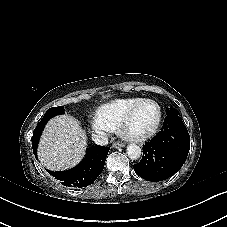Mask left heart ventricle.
I'll list each match as a JSON object with an SVG mask.
<instances>
[{
    "instance_id": "1",
    "label": "left heart ventricle",
    "mask_w": 227,
    "mask_h": 227,
    "mask_svg": "<svg viewBox=\"0 0 227 227\" xmlns=\"http://www.w3.org/2000/svg\"><path fill=\"white\" fill-rule=\"evenodd\" d=\"M158 118V109L152 103H144L134 112L130 118L126 131L130 133H147L155 125Z\"/></svg>"
}]
</instances>
